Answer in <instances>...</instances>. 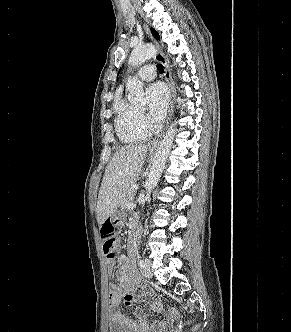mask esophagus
<instances>
[{"mask_svg":"<svg viewBox=\"0 0 291 332\" xmlns=\"http://www.w3.org/2000/svg\"><path fill=\"white\" fill-rule=\"evenodd\" d=\"M144 29L146 31V34L150 37V39L153 41V43L156 46V53H155V59L157 62L161 63L164 67V71H165V80L169 86V90H170V106H169V111H168V117H167V122H166V126L169 124V121L171 119V116L173 114V108H174V96H175V88H174V83L171 77V71L169 68V64L165 58V56L163 55V53L160 50V47L158 45V43L156 42V40L153 38V36L150 33V30L148 28L147 25H144ZM164 132L163 131L161 134H159L155 139H153L150 143H149V148H156L162 137L164 136Z\"/></svg>","mask_w":291,"mask_h":332,"instance_id":"34e87169","label":"esophagus"}]
</instances>
